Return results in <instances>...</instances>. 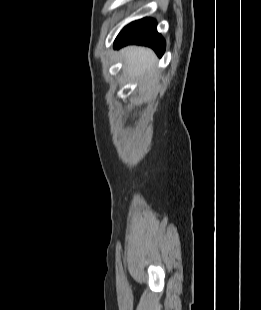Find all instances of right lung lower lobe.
<instances>
[{
  "label": "right lung lower lobe",
  "mask_w": 261,
  "mask_h": 310,
  "mask_svg": "<svg viewBox=\"0 0 261 310\" xmlns=\"http://www.w3.org/2000/svg\"><path fill=\"white\" fill-rule=\"evenodd\" d=\"M128 44L149 46L154 49L159 57L165 51V40L156 31V21L151 18H144L127 25L117 36L114 48Z\"/></svg>",
  "instance_id": "98d812e1"
}]
</instances>
